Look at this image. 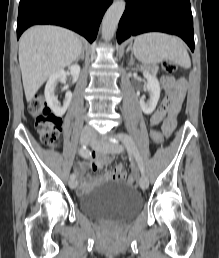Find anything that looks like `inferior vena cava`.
I'll return each mask as SVG.
<instances>
[{
  "mask_svg": "<svg viewBox=\"0 0 219 258\" xmlns=\"http://www.w3.org/2000/svg\"><path fill=\"white\" fill-rule=\"evenodd\" d=\"M85 129L89 132H92V129L90 127H86Z\"/></svg>",
  "mask_w": 219,
  "mask_h": 258,
  "instance_id": "602c4592",
  "label": "inferior vena cava"
}]
</instances>
